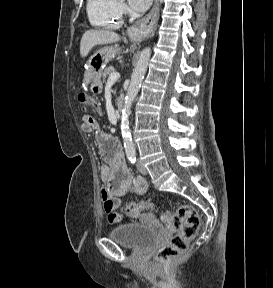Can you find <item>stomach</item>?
Instances as JSON below:
<instances>
[{"instance_id":"stomach-1","label":"stomach","mask_w":273,"mask_h":288,"mask_svg":"<svg viewBox=\"0 0 273 288\" xmlns=\"http://www.w3.org/2000/svg\"><path fill=\"white\" fill-rule=\"evenodd\" d=\"M120 52L117 45L106 46L94 53L87 65L84 81L86 84L91 83L90 90L93 93H101L102 83L101 75L105 66Z\"/></svg>"}]
</instances>
